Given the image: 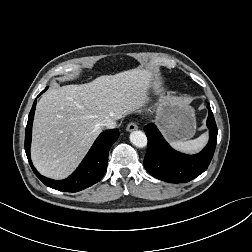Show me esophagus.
Instances as JSON below:
<instances>
[{"mask_svg":"<svg viewBox=\"0 0 252 252\" xmlns=\"http://www.w3.org/2000/svg\"><path fill=\"white\" fill-rule=\"evenodd\" d=\"M138 129V126L135 122H130L127 127H126V130L128 132H131V131H134V130H137Z\"/></svg>","mask_w":252,"mask_h":252,"instance_id":"34e87169","label":"esophagus"}]
</instances>
